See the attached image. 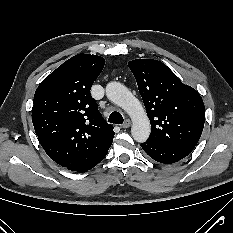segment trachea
<instances>
[{
    "instance_id": "3493384b",
    "label": "trachea",
    "mask_w": 233,
    "mask_h": 233,
    "mask_svg": "<svg viewBox=\"0 0 233 233\" xmlns=\"http://www.w3.org/2000/svg\"><path fill=\"white\" fill-rule=\"evenodd\" d=\"M108 122L114 124H122L124 122L123 116L119 112H112L108 118Z\"/></svg>"
}]
</instances>
